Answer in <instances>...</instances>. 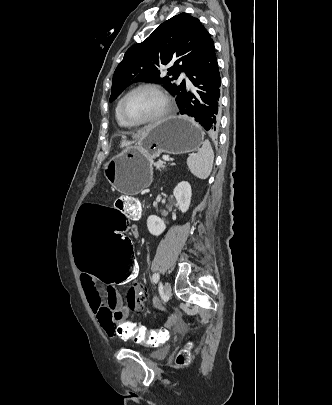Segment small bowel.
Here are the masks:
<instances>
[{"label":"small bowel","instance_id":"1","mask_svg":"<svg viewBox=\"0 0 332 405\" xmlns=\"http://www.w3.org/2000/svg\"><path fill=\"white\" fill-rule=\"evenodd\" d=\"M139 217L140 213L129 216L131 220H137ZM130 233L134 235V238L138 237L136 225L130 227ZM136 266H138L137 263ZM78 269L87 301L102 329L109 336H117V330L121 329V324L129 322L127 320L129 311H142L143 306H147V297H140L138 275H136L135 281L129 282L128 295L125 300L115 287H106L104 291L100 290L95 275H82V268ZM155 304L158 306V301H155Z\"/></svg>","mask_w":332,"mask_h":405}]
</instances>
